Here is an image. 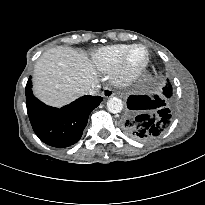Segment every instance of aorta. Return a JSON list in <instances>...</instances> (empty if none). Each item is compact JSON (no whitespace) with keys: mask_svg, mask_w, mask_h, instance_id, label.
Listing matches in <instances>:
<instances>
[{"mask_svg":"<svg viewBox=\"0 0 205 205\" xmlns=\"http://www.w3.org/2000/svg\"><path fill=\"white\" fill-rule=\"evenodd\" d=\"M107 109L110 113H113V114L120 113L123 109L122 100L117 97H111L107 101Z\"/></svg>","mask_w":205,"mask_h":205,"instance_id":"1","label":"aorta"}]
</instances>
